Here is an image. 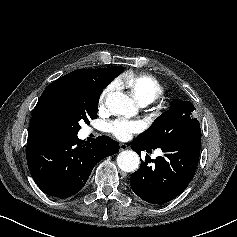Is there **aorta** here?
Segmentation results:
<instances>
[{
    "mask_svg": "<svg viewBox=\"0 0 237 237\" xmlns=\"http://www.w3.org/2000/svg\"><path fill=\"white\" fill-rule=\"evenodd\" d=\"M106 106L110 112L117 115L131 117L137 113L135 102L121 92L110 93L106 99ZM117 164L124 172H134L139 167L140 159L134 151L125 150L117 156Z\"/></svg>",
    "mask_w": 237,
    "mask_h": 237,
    "instance_id": "762f6f07",
    "label": "aorta"
}]
</instances>
